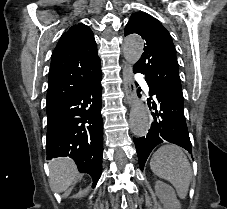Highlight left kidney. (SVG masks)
Returning a JSON list of instances; mask_svg holds the SVG:
<instances>
[{
  "instance_id": "5707ae66",
  "label": "left kidney",
  "mask_w": 227,
  "mask_h": 209,
  "mask_svg": "<svg viewBox=\"0 0 227 209\" xmlns=\"http://www.w3.org/2000/svg\"><path fill=\"white\" fill-rule=\"evenodd\" d=\"M155 193L164 209H181L180 201H178L176 193L170 185H166L162 181H156Z\"/></svg>"
}]
</instances>
